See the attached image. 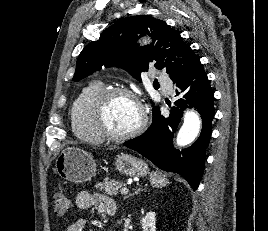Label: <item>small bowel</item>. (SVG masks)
<instances>
[{
    "label": "small bowel",
    "mask_w": 268,
    "mask_h": 231,
    "mask_svg": "<svg viewBox=\"0 0 268 231\" xmlns=\"http://www.w3.org/2000/svg\"><path fill=\"white\" fill-rule=\"evenodd\" d=\"M75 204L79 209L95 208L106 215H113L116 211L115 201L104 194L82 191L75 198ZM87 225L85 219H79L70 224L66 231H84Z\"/></svg>",
    "instance_id": "c3829d8e"
}]
</instances>
